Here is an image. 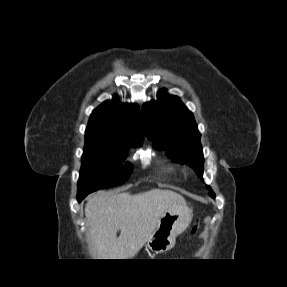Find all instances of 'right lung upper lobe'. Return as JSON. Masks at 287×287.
<instances>
[{
	"label": "right lung upper lobe",
	"instance_id": "obj_1",
	"mask_svg": "<svg viewBox=\"0 0 287 287\" xmlns=\"http://www.w3.org/2000/svg\"><path fill=\"white\" fill-rule=\"evenodd\" d=\"M139 120L140 110L136 104H124L114 97L93 111L85 138L128 144L142 143Z\"/></svg>",
	"mask_w": 287,
	"mask_h": 287
}]
</instances>
